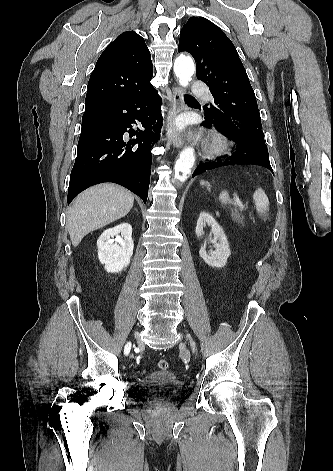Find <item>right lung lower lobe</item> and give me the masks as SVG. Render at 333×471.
<instances>
[{
  "label": "right lung lower lobe",
  "mask_w": 333,
  "mask_h": 471,
  "mask_svg": "<svg viewBox=\"0 0 333 471\" xmlns=\"http://www.w3.org/2000/svg\"><path fill=\"white\" fill-rule=\"evenodd\" d=\"M160 105L161 98L150 84L123 100L84 113L77 157L70 175L68 204L81 191L102 182L120 184L146 203L152 160L150 149L156 139L152 129L161 125ZM138 124L145 130L134 131L132 126ZM126 132L130 137H137L129 141L123 139Z\"/></svg>",
  "instance_id": "98d812e1"
}]
</instances>
